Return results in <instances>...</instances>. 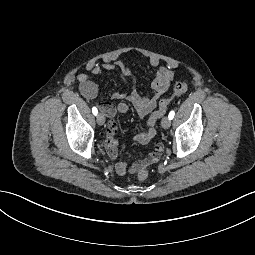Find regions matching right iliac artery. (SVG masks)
<instances>
[{
    "instance_id": "82829eb1",
    "label": "right iliac artery",
    "mask_w": 255,
    "mask_h": 255,
    "mask_svg": "<svg viewBox=\"0 0 255 255\" xmlns=\"http://www.w3.org/2000/svg\"><path fill=\"white\" fill-rule=\"evenodd\" d=\"M92 112H93L94 115H97V113H98L97 108H96V107H93V108H92Z\"/></svg>"
}]
</instances>
